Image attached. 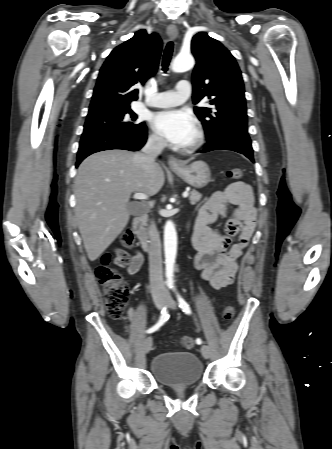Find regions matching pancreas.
Segmentation results:
<instances>
[{
  "label": "pancreas",
  "mask_w": 332,
  "mask_h": 449,
  "mask_svg": "<svg viewBox=\"0 0 332 449\" xmlns=\"http://www.w3.org/2000/svg\"><path fill=\"white\" fill-rule=\"evenodd\" d=\"M201 198H202V195L198 191L193 190L190 194L189 200H190V203L194 205L197 202H199Z\"/></svg>",
  "instance_id": "pancreas-1"
}]
</instances>
